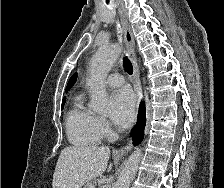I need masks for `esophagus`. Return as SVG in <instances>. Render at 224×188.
Instances as JSON below:
<instances>
[{"mask_svg": "<svg viewBox=\"0 0 224 188\" xmlns=\"http://www.w3.org/2000/svg\"><path fill=\"white\" fill-rule=\"evenodd\" d=\"M120 16H121L122 25H123L124 39H125V43L127 47V55L130 58L132 66H133V88L137 96V107H138L142 100V91H141V85H140V79H139V68H138L137 59L135 55V40L132 33V29L130 25L128 24L121 10H120ZM131 148H132V142L130 141L126 146L118 150L116 152V155H123L127 153Z\"/></svg>", "mask_w": 224, "mask_h": 188, "instance_id": "esophagus-1", "label": "esophagus"}]
</instances>
